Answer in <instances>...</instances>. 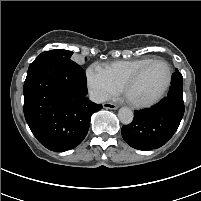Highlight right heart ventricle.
I'll return each instance as SVG.
<instances>
[{"instance_id": "e07e8e85", "label": "right heart ventricle", "mask_w": 201, "mask_h": 201, "mask_svg": "<svg viewBox=\"0 0 201 201\" xmlns=\"http://www.w3.org/2000/svg\"><path fill=\"white\" fill-rule=\"evenodd\" d=\"M153 58L144 57L134 60L115 61L105 65L107 71L114 83L122 88L123 83L142 65L152 60Z\"/></svg>"}]
</instances>
